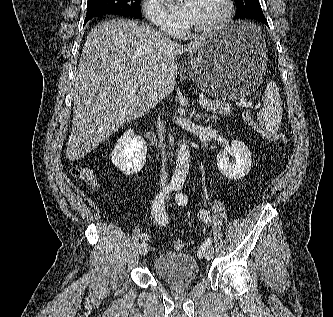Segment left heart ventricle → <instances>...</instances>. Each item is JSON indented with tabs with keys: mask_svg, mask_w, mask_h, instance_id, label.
<instances>
[{
	"mask_svg": "<svg viewBox=\"0 0 333 317\" xmlns=\"http://www.w3.org/2000/svg\"><path fill=\"white\" fill-rule=\"evenodd\" d=\"M221 0H196L195 10L190 25L203 27L213 22L221 13Z\"/></svg>",
	"mask_w": 333,
	"mask_h": 317,
	"instance_id": "b2bd125f",
	"label": "left heart ventricle"
}]
</instances>
